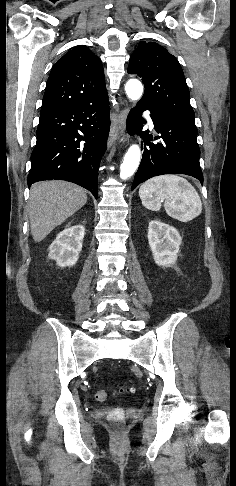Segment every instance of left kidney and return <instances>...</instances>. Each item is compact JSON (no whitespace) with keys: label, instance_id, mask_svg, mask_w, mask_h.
<instances>
[{"label":"left kidney","instance_id":"5707ae66","mask_svg":"<svg viewBox=\"0 0 236 486\" xmlns=\"http://www.w3.org/2000/svg\"><path fill=\"white\" fill-rule=\"evenodd\" d=\"M148 242L157 265L170 267L176 263L182 238L174 227L152 220L148 227Z\"/></svg>","mask_w":236,"mask_h":486}]
</instances>
